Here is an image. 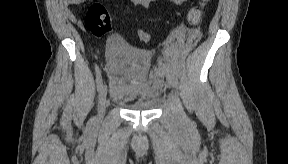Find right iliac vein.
<instances>
[{
	"label": "right iliac vein",
	"instance_id": "obj_1",
	"mask_svg": "<svg viewBox=\"0 0 288 164\" xmlns=\"http://www.w3.org/2000/svg\"><path fill=\"white\" fill-rule=\"evenodd\" d=\"M107 105H108L107 88L105 85H102L100 92H99V99H98V118L99 119L103 118Z\"/></svg>",
	"mask_w": 288,
	"mask_h": 164
}]
</instances>
